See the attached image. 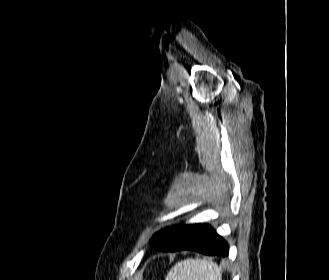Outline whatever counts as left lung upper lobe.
I'll list each match as a JSON object with an SVG mask.
<instances>
[{"label":"left lung upper lobe","instance_id":"5c2ea615","mask_svg":"<svg viewBox=\"0 0 329 280\" xmlns=\"http://www.w3.org/2000/svg\"><path fill=\"white\" fill-rule=\"evenodd\" d=\"M167 244V236H164L163 231L156 233L150 240V245L156 249H162Z\"/></svg>","mask_w":329,"mask_h":280}]
</instances>
